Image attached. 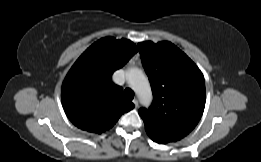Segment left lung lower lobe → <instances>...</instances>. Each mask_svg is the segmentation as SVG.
I'll list each match as a JSON object with an SVG mask.
<instances>
[{"label": "left lung lower lobe", "instance_id": "0a47b994", "mask_svg": "<svg viewBox=\"0 0 261 162\" xmlns=\"http://www.w3.org/2000/svg\"><path fill=\"white\" fill-rule=\"evenodd\" d=\"M154 142H157V143H159V144H164V143H161L160 141H156V140H153Z\"/></svg>", "mask_w": 261, "mask_h": 162}]
</instances>
